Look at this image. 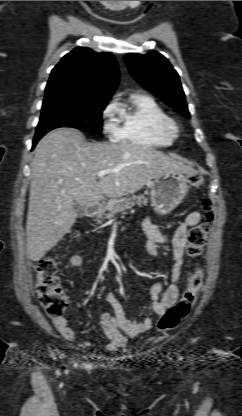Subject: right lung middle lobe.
Returning a JSON list of instances; mask_svg holds the SVG:
<instances>
[{
	"mask_svg": "<svg viewBox=\"0 0 242 416\" xmlns=\"http://www.w3.org/2000/svg\"><path fill=\"white\" fill-rule=\"evenodd\" d=\"M109 99L65 95L45 97L35 137L58 127H73L97 134L102 130V111Z\"/></svg>",
	"mask_w": 242,
	"mask_h": 416,
	"instance_id": "1",
	"label": "right lung middle lobe"
}]
</instances>
